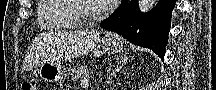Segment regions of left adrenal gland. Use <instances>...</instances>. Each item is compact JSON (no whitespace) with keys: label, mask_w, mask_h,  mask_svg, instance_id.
<instances>
[{"label":"left adrenal gland","mask_w":216,"mask_h":90,"mask_svg":"<svg viewBox=\"0 0 216 90\" xmlns=\"http://www.w3.org/2000/svg\"><path fill=\"white\" fill-rule=\"evenodd\" d=\"M116 60L117 62L116 66H114V70H111V66L110 70H108V82H112V78L113 76H115V72H119V70H121L122 66L126 64L128 58L127 56H117Z\"/></svg>","instance_id":"left-adrenal-gland-1"}]
</instances>
